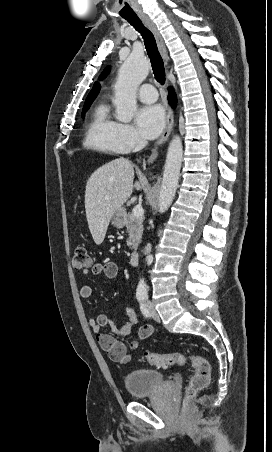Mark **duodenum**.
Masks as SVG:
<instances>
[{
  "label": "duodenum",
  "instance_id": "duodenum-1",
  "mask_svg": "<svg viewBox=\"0 0 272 452\" xmlns=\"http://www.w3.org/2000/svg\"><path fill=\"white\" fill-rule=\"evenodd\" d=\"M139 255H140L139 250H133L130 253V263L131 264H136L138 262Z\"/></svg>",
  "mask_w": 272,
  "mask_h": 452
}]
</instances>
